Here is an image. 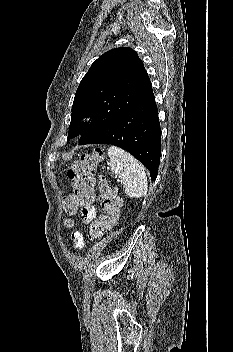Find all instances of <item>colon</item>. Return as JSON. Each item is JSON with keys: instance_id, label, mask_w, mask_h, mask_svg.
<instances>
[{"instance_id": "1", "label": "colon", "mask_w": 233, "mask_h": 352, "mask_svg": "<svg viewBox=\"0 0 233 352\" xmlns=\"http://www.w3.org/2000/svg\"><path fill=\"white\" fill-rule=\"evenodd\" d=\"M102 158V150L96 148L91 153L82 154L68 169L67 176L74 189V194L65 197L62 201L63 210L68 216L75 214L79 206L87 207L94 202V178L91 171L96 168ZM99 191L104 214L90 226L89 235L92 239L101 237L116 225L122 206L117 192L108 185L104 178L99 182ZM65 223L70 225L71 221L67 219Z\"/></svg>"}]
</instances>
